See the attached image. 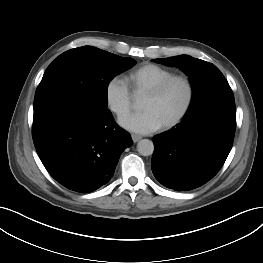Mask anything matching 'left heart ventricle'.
I'll list each match as a JSON object with an SVG mask.
<instances>
[{
	"mask_svg": "<svg viewBox=\"0 0 263 263\" xmlns=\"http://www.w3.org/2000/svg\"><path fill=\"white\" fill-rule=\"evenodd\" d=\"M186 96L187 90L185 85L180 81H176L160 96L152 97L144 95L141 109L153 110L164 124L180 111L185 103Z\"/></svg>",
	"mask_w": 263,
	"mask_h": 263,
	"instance_id": "left-heart-ventricle-1",
	"label": "left heart ventricle"
}]
</instances>
